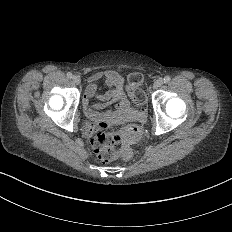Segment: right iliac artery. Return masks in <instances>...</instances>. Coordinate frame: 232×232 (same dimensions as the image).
<instances>
[{"label":"right iliac artery","mask_w":232,"mask_h":232,"mask_svg":"<svg viewBox=\"0 0 232 232\" xmlns=\"http://www.w3.org/2000/svg\"><path fill=\"white\" fill-rule=\"evenodd\" d=\"M67 77H68V78H72V73H71V72H68V73H67Z\"/></svg>","instance_id":"right-iliac-artery-1"}]
</instances>
